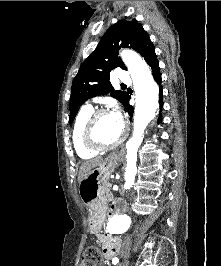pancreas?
<instances>
[{"mask_svg": "<svg viewBox=\"0 0 221 266\" xmlns=\"http://www.w3.org/2000/svg\"><path fill=\"white\" fill-rule=\"evenodd\" d=\"M110 188H111V184L107 183L104 190H105V195L106 197L108 198L109 201H112L113 200V195L110 191Z\"/></svg>", "mask_w": 221, "mask_h": 266, "instance_id": "obj_1", "label": "pancreas"}]
</instances>
